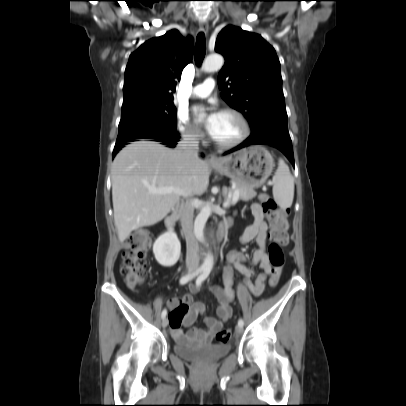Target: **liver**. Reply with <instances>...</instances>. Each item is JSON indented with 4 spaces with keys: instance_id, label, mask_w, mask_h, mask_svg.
<instances>
[{
    "instance_id": "6515ba94",
    "label": "liver",
    "mask_w": 406,
    "mask_h": 406,
    "mask_svg": "<svg viewBox=\"0 0 406 406\" xmlns=\"http://www.w3.org/2000/svg\"><path fill=\"white\" fill-rule=\"evenodd\" d=\"M111 174L114 223L123 243L132 231L164 219L179 201V194H152L151 189L172 186L200 195L208 187L210 170L202 159L192 163L176 149L141 140L117 154Z\"/></svg>"
}]
</instances>
